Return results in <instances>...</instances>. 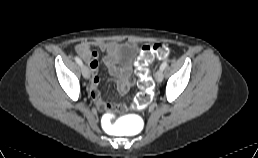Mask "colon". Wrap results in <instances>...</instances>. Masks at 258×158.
I'll return each instance as SVG.
<instances>
[{
    "label": "colon",
    "mask_w": 258,
    "mask_h": 158,
    "mask_svg": "<svg viewBox=\"0 0 258 158\" xmlns=\"http://www.w3.org/2000/svg\"><path fill=\"white\" fill-rule=\"evenodd\" d=\"M170 55V50L167 45L163 43H154L151 45H143L140 53L135 61L136 72L139 76L140 92L137 95L134 108L143 109L147 107L152 100L153 82L149 75L148 65L154 60H165ZM113 107L110 106L109 109Z\"/></svg>",
    "instance_id": "1"
}]
</instances>
